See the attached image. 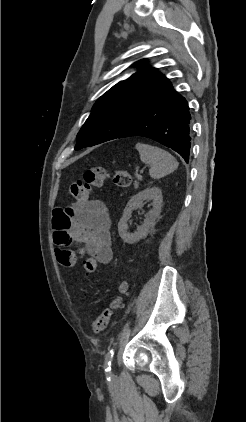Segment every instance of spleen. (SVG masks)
<instances>
[{
    "label": "spleen",
    "instance_id": "1",
    "mask_svg": "<svg viewBox=\"0 0 246 422\" xmlns=\"http://www.w3.org/2000/svg\"><path fill=\"white\" fill-rule=\"evenodd\" d=\"M135 147L141 161L149 165V174L154 179L164 177L178 168L175 157L164 149L143 143H137Z\"/></svg>",
    "mask_w": 246,
    "mask_h": 422
}]
</instances>
